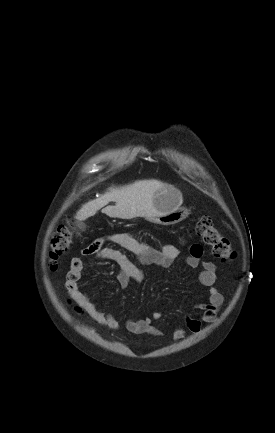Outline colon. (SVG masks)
<instances>
[{"label": "colon", "mask_w": 275, "mask_h": 433, "mask_svg": "<svg viewBox=\"0 0 275 433\" xmlns=\"http://www.w3.org/2000/svg\"><path fill=\"white\" fill-rule=\"evenodd\" d=\"M196 233L202 240L211 247L212 253L222 261L230 260L234 257L227 238L222 236L215 227L212 218L203 216L198 219L195 226ZM73 242V223L61 225L53 234L50 245V261L55 263L70 248Z\"/></svg>", "instance_id": "5ec220e1"}]
</instances>
